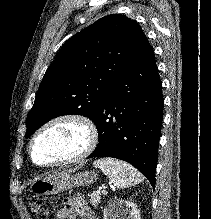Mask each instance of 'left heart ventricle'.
I'll list each match as a JSON object with an SVG mask.
<instances>
[{
  "mask_svg": "<svg viewBox=\"0 0 211 219\" xmlns=\"http://www.w3.org/2000/svg\"><path fill=\"white\" fill-rule=\"evenodd\" d=\"M86 133L74 122H60L45 129L33 145L34 159L40 164L62 161L84 146Z\"/></svg>",
  "mask_w": 211,
  "mask_h": 219,
  "instance_id": "b2bd125f",
  "label": "left heart ventricle"
}]
</instances>
